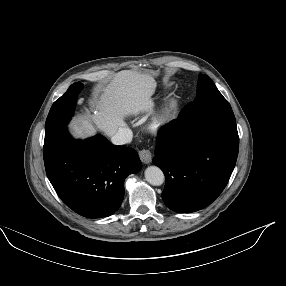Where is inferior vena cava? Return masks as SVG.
Wrapping results in <instances>:
<instances>
[{
    "label": "inferior vena cava",
    "instance_id": "obj_1",
    "mask_svg": "<svg viewBox=\"0 0 286 286\" xmlns=\"http://www.w3.org/2000/svg\"><path fill=\"white\" fill-rule=\"evenodd\" d=\"M132 131L128 127H120L111 137L115 145H124L132 141Z\"/></svg>",
    "mask_w": 286,
    "mask_h": 286
}]
</instances>
